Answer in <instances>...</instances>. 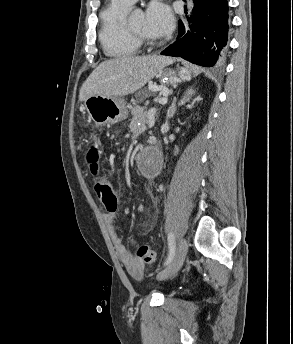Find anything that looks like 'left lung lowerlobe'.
I'll use <instances>...</instances> for the list:
<instances>
[{"label": "left lung lower lobe", "mask_w": 293, "mask_h": 344, "mask_svg": "<svg viewBox=\"0 0 293 344\" xmlns=\"http://www.w3.org/2000/svg\"><path fill=\"white\" fill-rule=\"evenodd\" d=\"M194 3L191 32L186 31L180 20L176 40L161 54L212 67L225 56L229 28L228 3L227 0H194Z\"/></svg>", "instance_id": "obj_1"}]
</instances>
